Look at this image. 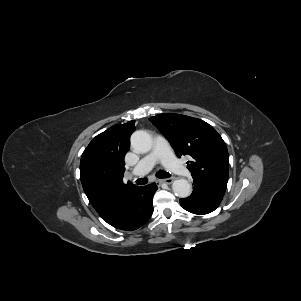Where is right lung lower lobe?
<instances>
[{
  "mask_svg": "<svg viewBox=\"0 0 301 301\" xmlns=\"http://www.w3.org/2000/svg\"><path fill=\"white\" fill-rule=\"evenodd\" d=\"M157 190L153 183L136 187L127 197L119 214L109 223L121 230L132 231L145 224L153 213L152 198Z\"/></svg>",
  "mask_w": 301,
  "mask_h": 301,
  "instance_id": "1",
  "label": "right lung lower lobe"
}]
</instances>
